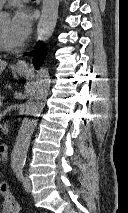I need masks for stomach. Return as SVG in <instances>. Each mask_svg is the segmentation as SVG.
Listing matches in <instances>:
<instances>
[{"instance_id": "obj_1", "label": "stomach", "mask_w": 128, "mask_h": 213, "mask_svg": "<svg viewBox=\"0 0 128 213\" xmlns=\"http://www.w3.org/2000/svg\"><path fill=\"white\" fill-rule=\"evenodd\" d=\"M17 72L20 74V75H24V74H26V70H17Z\"/></svg>"}]
</instances>
